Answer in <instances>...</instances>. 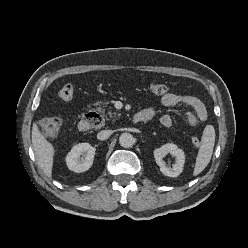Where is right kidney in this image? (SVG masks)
Segmentation results:
<instances>
[{"instance_id":"1","label":"right kidney","mask_w":248,"mask_h":248,"mask_svg":"<svg viewBox=\"0 0 248 248\" xmlns=\"http://www.w3.org/2000/svg\"><path fill=\"white\" fill-rule=\"evenodd\" d=\"M95 151L96 148L89 143L75 145L66 157L68 169L76 173L87 171L92 166Z\"/></svg>"}]
</instances>
